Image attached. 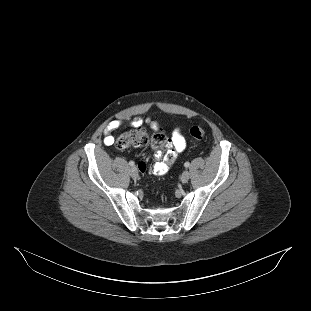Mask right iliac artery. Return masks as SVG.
I'll use <instances>...</instances> for the list:
<instances>
[{
	"mask_svg": "<svg viewBox=\"0 0 311 311\" xmlns=\"http://www.w3.org/2000/svg\"><path fill=\"white\" fill-rule=\"evenodd\" d=\"M129 165H130V166H134L135 163H134L133 161H130V162H129Z\"/></svg>",
	"mask_w": 311,
	"mask_h": 311,
	"instance_id": "82829eb1",
	"label": "right iliac artery"
}]
</instances>
